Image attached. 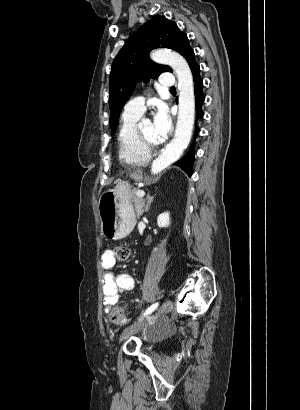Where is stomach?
Returning a JSON list of instances; mask_svg holds the SVG:
<instances>
[{
  "mask_svg": "<svg viewBox=\"0 0 300 410\" xmlns=\"http://www.w3.org/2000/svg\"><path fill=\"white\" fill-rule=\"evenodd\" d=\"M132 178L141 180L139 173ZM131 192L126 182H120L115 189L104 192L98 202L102 235L108 240H117L127 236L135 225V213L131 201Z\"/></svg>",
  "mask_w": 300,
  "mask_h": 410,
  "instance_id": "stomach-1",
  "label": "stomach"
}]
</instances>
